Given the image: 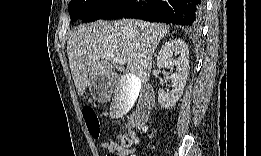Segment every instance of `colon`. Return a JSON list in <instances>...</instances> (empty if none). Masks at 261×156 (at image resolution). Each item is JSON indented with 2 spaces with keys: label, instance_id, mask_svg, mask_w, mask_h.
<instances>
[{
  "label": "colon",
  "instance_id": "obj_1",
  "mask_svg": "<svg viewBox=\"0 0 261 156\" xmlns=\"http://www.w3.org/2000/svg\"><path fill=\"white\" fill-rule=\"evenodd\" d=\"M83 116L88 127V130L92 137L98 138L101 134V127L99 119L96 115V112L92 108H84ZM142 130H147V124L142 123L140 125ZM120 143L125 147H130L133 142L136 141V133L134 129H129L126 132L120 134L119 136Z\"/></svg>",
  "mask_w": 261,
  "mask_h": 156
}]
</instances>
